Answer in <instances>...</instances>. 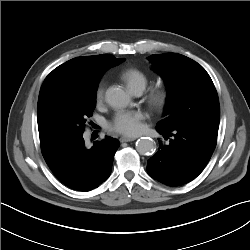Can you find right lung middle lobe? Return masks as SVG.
I'll use <instances>...</instances> for the list:
<instances>
[{"instance_id":"right-lung-middle-lobe-1","label":"right lung middle lobe","mask_w":250,"mask_h":250,"mask_svg":"<svg viewBox=\"0 0 250 250\" xmlns=\"http://www.w3.org/2000/svg\"><path fill=\"white\" fill-rule=\"evenodd\" d=\"M97 84L64 97L39 125L40 141L82 134L95 108Z\"/></svg>"}]
</instances>
